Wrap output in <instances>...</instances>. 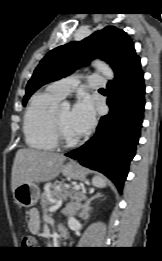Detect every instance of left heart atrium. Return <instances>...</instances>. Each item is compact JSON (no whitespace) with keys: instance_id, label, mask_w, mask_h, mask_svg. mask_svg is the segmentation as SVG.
Returning <instances> with one entry per match:
<instances>
[{"instance_id":"39dd6f15","label":"left heart atrium","mask_w":162,"mask_h":261,"mask_svg":"<svg viewBox=\"0 0 162 261\" xmlns=\"http://www.w3.org/2000/svg\"><path fill=\"white\" fill-rule=\"evenodd\" d=\"M95 123V112L92 101L88 97L79 99L70 112V125L78 134L87 133Z\"/></svg>"}]
</instances>
